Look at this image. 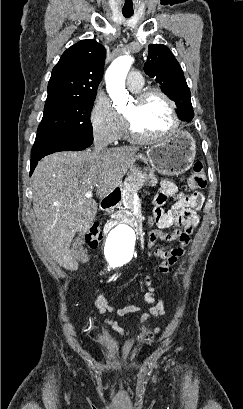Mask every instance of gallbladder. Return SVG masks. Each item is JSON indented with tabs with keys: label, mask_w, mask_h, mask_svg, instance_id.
Returning a JSON list of instances; mask_svg holds the SVG:
<instances>
[{
	"label": "gallbladder",
	"mask_w": 243,
	"mask_h": 409,
	"mask_svg": "<svg viewBox=\"0 0 243 409\" xmlns=\"http://www.w3.org/2000/svg\"><path fill=\"white\" fill-rule=\"evenodd\" d=\"M80 241V237L79 236H77L76 238H74V240H73V243L75 244V245H77V243ZM78 248L76 249H74L75 251H76V253H77V255H78V249L80 248V246L78 245L77 246Z\"/></svg>",
	"instance_id": "gallbladder-1"
}]
</instances>
